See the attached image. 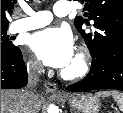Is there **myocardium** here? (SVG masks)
<instances>
[{
	"instance_id": "myocardium-1",
	"label": "myocardium",
	"mask_w": 123,
	"mask_h": 113,
	"mask_svg": "<svg viewBox=\"0 0 123 113\" xmlns=\"http://www.w3.org/2000/svg\"><path fill=\"white\" fill-rule=\"evenodd\" d=\"M72 63V67L66 68L61 72L63 78L76 80L86 76L90 70V55L88 51L81 50Z\"/></svg>"
}]
</instances>
